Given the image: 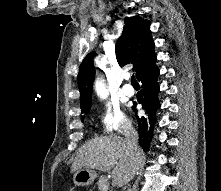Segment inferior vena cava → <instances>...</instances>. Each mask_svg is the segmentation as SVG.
<instances>
[{
	"mask_svg": "<svg viewBox=\"0 0 221 191\" xmlns=\"http://www.w3.org/2000/svg\"><path fill=\"white\" fill-rule=\"evenodd\" d=\"M125 137L129 152L133 158V165L134 167H136L140 158V149L138 147V134L133 128H131L126 132Z\"/></svg>",
	"mask_w": 221,
	"mask_h": 191,
	"instance_id": "inferior-vena-cava-1",
	"label": "inferior vena cava"
}]
</instances>
